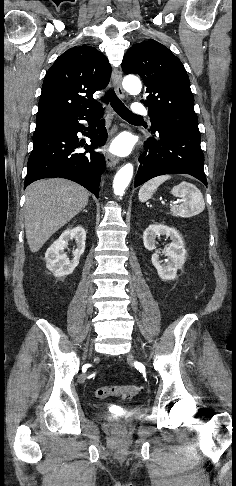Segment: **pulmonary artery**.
Returning a JSON list of instances; mask_svg holds the SVG:
<instances>
[{
	"label": "pulmonary artery",
	"instance_id": "1",
	"mask_svg": "<svg viewBox=\"0 0 236 486\" xmlns=\"http://www.w3.org/2000/svg\"><path fill=\"white\" fill-rule=\"evenodd\" d=\"M132 111L135 115L142 116V115H147L148 110L146 109L145 106H143L140 103H134L132 106Z\"/></svg>",
	"mask_w": 236,
	"mask_h": 486
}]
</instances>
